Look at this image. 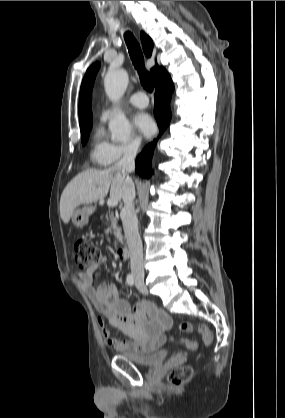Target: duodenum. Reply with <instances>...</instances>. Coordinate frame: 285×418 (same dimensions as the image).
I'll return each instance as SVG.
<instances>
[{"label":"duodenum","instance_id":"obj_1","mask_svg":"<svg viewBox=\"0 0 285 418\" xmlns=\"http://www.w3.org/2000/svg\"><path fill=\"white\" fill-rule=\"evenodd\" d=\"M117 256L121 260H127L129 258V248L127 246H121L117 249Z\"/></svg>","mask_w":285,"mask_h":418}]
</instances>
